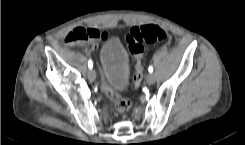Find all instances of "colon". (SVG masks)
I'll use <instances>...</instances> for the list:
<instances>
[{"instance_id":"1","label":"colon","mask_w":245,"mask_h":145,"mask_svg":"<svg viewBox=\"0 0 245 145\" xmlns=\"http://www.w3.org/2000/svg\"><path fill=\"white\" fill-rule=\"evenodd\" d=\"M98 36V31L93 28L75 27L66 35L65 43H92ZM124 40L135 61V72L130 82V86L135 88L141 83L144 76L143 44L156 42L167 43L170 40V34L163 27L146 24L128 30L124 35ZM105 92L108 97L113 100L115 110L118 114L124 115L130 111L132 104L128 99L118 96L109 86H105Z\"/></svg>"}]
</instances>
